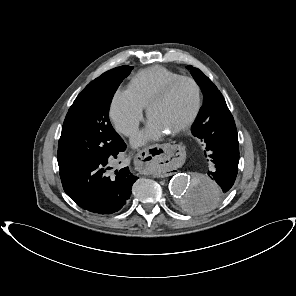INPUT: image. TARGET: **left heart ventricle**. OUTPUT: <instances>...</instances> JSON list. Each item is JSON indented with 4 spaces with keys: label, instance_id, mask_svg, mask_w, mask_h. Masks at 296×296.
<instances>
[{
    "label": "left heart ventricle",
    "instance_id": "1",
    "mask_svg": "<svg viewBox=\"0 0 296 296\" xmlns=\"http://www.w3.org/2000/svg\"><path fill=\"white\" fill-rule=\"evenodd\" d=\"M195 104V88L192 84L184 82L177 86L164 102L152 109L150 120L159 125L167 133H170L189 118Z\"/></svg>",
    "mask_w": 296,
    "mask_h": 296
}]
</instances>
